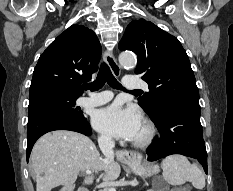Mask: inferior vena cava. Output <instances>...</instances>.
I'll return each instance as SVG.
<instances>
[{
  "instance_id": "1",
  "label": "inferior vena cava",
  "mask_w": 233,
  "mask_h": 191,
  "mask_svg": "<svg viewBox=\"0 0 233 191\" xmlns=\"http://www.w3.org/2000/svg\"><path fill=\"white\" fill-rule=\"evenodd\" d=\"M114 146L115 142L111 137L105 136L99 140V147L105 156V159L103 160L105 163H111L114 161Z\"/></svg>"
}]
</instances>
